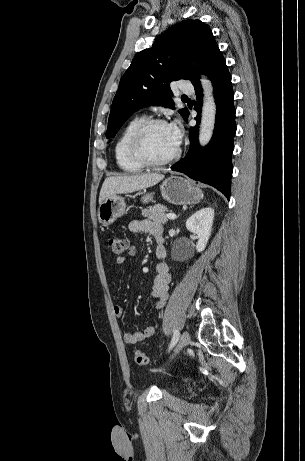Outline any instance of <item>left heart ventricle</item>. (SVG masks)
Returning <instances> with one entry per match:
<instances>
[{
	"label": "left heart ventricle",
	"mask_w": 305,
	"mask_h": 461,
	"mask_svg": "<svg viewBox=\"0 0 305 461\" xmlns=\"http://www.w3.org/2000/svg\"><path fill=\"white\" fill-rule=\"evenodd\" d=\"M177 147L171 139L168 125H157L149 129L143 142L145 155L154 161L171 156Z\"/></svg>",
	"instance_id": "1"
}]
</instances>
